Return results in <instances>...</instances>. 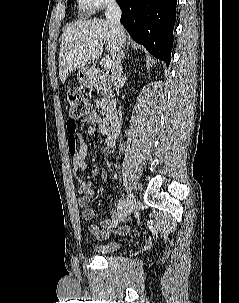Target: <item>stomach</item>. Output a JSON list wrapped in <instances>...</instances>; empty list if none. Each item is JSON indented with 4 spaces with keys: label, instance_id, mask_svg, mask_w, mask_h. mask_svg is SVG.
I'll return each mask as SVG.
<instances>
[{
    "label": "stomach",
    "instance_id": "stomach-1",
    "mask_svg": "<svg viewBox=\"0 0 239 303\" xmlns=\"http://www.w3.org/2000/svg\"><path fill=\"white\" fill-rule=\"evenodd\" d=\"M77 80L80 83V85H82L84 87H90L94 83V79L91 74V71L85 67L80 68L78 70Z\"/></svg>",
    "mask_w": 239,
    "mask_h": 303
}]
</instances>
